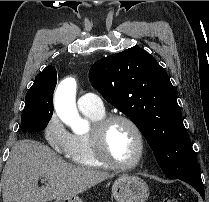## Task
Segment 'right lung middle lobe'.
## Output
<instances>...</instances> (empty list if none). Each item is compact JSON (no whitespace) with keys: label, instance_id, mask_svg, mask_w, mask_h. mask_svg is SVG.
I'll list each match as a JSON object with an SVG mask.
<instances>
[{"label":"right lung middle lobe","instance_id":"right-lung-middle-lobe-1","mask_svg":"<svg viewBox=\"0 0 209 202\" xmlns=\"http://www.w3.org/2000/svg\"><path fill=\"white\" fill-rule=\"evenodd\" d=\"M56 82L50 79L35 81L27 91L21 115L22 132H39L46 128L53 114V92Z\"/></svg>","mask_w":209,"mask_h":202}]
</instances>
